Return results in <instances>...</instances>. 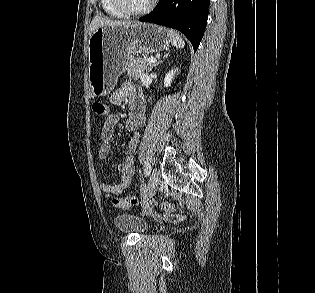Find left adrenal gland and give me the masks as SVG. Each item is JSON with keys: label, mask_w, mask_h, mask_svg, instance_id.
Instances as JSON below:
<instances>
[{"label": "left adrenal gland", "mask_w": 315, "mask_h": 293, "mask_svg": "<svg viewBox=\"0 0 315 293\" xmlns=\"http://www.w3.org/2000/svg\"><path fill=\"white\" fill-rule=\"evenodd\" d=\"M165 57H166V56H165ZM165 57H164V58H165ZM160 62H161V61L159 60L158 62H156V63L150 65V67L148 68L147 71H151V70L153 69V67H156Z\"/></svg>", "instance_id": "obj_1"}]
</instances>
